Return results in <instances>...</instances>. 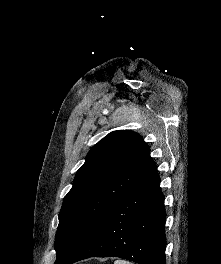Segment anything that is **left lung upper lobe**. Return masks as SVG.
<instances>
[{"label":"left lung upper lobe","instance_id":"5c2ea615","mask_svg":"<svg viewBox=\"0 0 221 264\" xmlns=\"http://www.w3.org/2000/svg\"><path fill=\"white\" fill-rule=\"evenodd\" d=\"M155 168L149 146L133 131H113L94 145L63 200L55 237L57 260L71 253Z\"/></svg>","mask_w":221,"mask_h":264}]
</instances>
